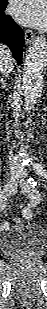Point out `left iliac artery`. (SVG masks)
Returning a JSON list of instances; mask_svg holds the SVG:
<instances>
[{
  "label": "left iliac artery",
  "instance_id": "44dca946",
  "mask_svg": "<svg viewBox=\"0 0 47 309\" xmlns=\"http://www.w3.org/2000/svg\"><path fill=\"white\" fill-rule=\"evenodd\" d=\"M34 169L36 170V172L44 177H46V173L43 170V168L39 165V164H34L33 165Z\"/></svg>",
  "mask_w": 47,
  "mask_h": 309
}]
</instances>
